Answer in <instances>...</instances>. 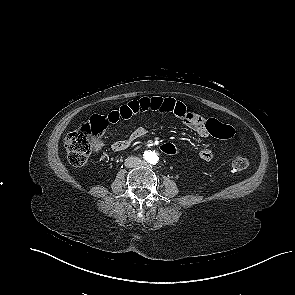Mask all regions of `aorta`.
<instances>
[{
  "mask_svg": "<svg viewBox=\"0 0 295 295\" xmlns=\"http://www.w3.org/2000/svg\"><path fill=\"white\" fill-rule=\"evenodd\" d=\"M143 156L145 161L150 164L154 165L158 163L159 157H158V153L155 151H151V150L145 151Z\"/></svg>",
  "mask_w": 295,
  "mask_h": 295,
  "instance_id": "aorta-1",
  "label": "aorta"
}]
</instances>
